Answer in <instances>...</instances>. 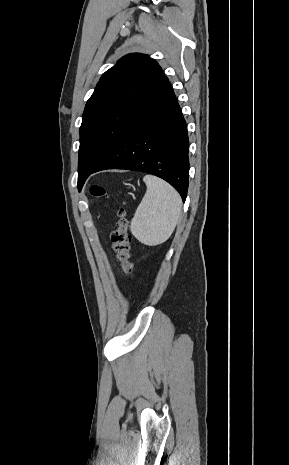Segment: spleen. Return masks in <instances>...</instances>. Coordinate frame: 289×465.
<instances>
[{
  "mask_svg": "<svg viewBox=\"0 0 289 465\" xmlns=\"http://www.w3.org/2000/svg\"><path fill=\"white\" fill-rule=\"evenodd\" d=\"M147 191L131 220L130 231L141 243L155 246L173 233L181 213V197L162 179L146 175Z\"/></svg>",
  "mask_w": 289,
  "mask_h": 465,
  "instance_id": "obj_1",
  "label": "spleen"
}]
</instances>
